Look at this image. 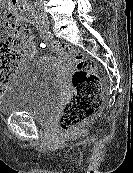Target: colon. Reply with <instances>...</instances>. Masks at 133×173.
<instances>
[{
	"mask_svg": "<svg viewBox=\"0 0 133 173\" xmlns=\"http://www.w3.org/2000/svg\"><path fill=\"white\" fill-rule=\"evenodd\" d=\"M0 29L5 40H0V91L11 77L17 63V54L10 47L9 41L26 32L13 15L8 13L0 19ZM51 49L70 58L74 65L71 76L73 93L65 104L59 123L65 132H70L90 119L102 102V85L97 74L95 62L85 57L68 44L53 42Z\"/></svg>",
	"mask_w": 133,
	"mask_h": 173,
	"instance_id": "colon-1",
	"label": "colon"
}]
</instances>
